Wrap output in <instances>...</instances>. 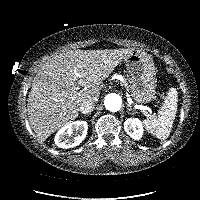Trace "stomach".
I'll use <instances>...</instances> for the list:
<instances>
[{
    "instance_id": "0dacf381",
    "label": "stomach",
    "mask_w": 200,
    "mask_h": 200,
    "mask_svg": "<svg viewBox=\"0 0 200 200\" xmlns=\"http://www.w3.org/2000/svg\"><path fill=\"white\" fill-rule=\"evenodd\" d=\"M130 76L129 90L137 103H148L155 95V66L153 59L144 51H132L124 58Z\"/></svg>"
}]
</instances>
